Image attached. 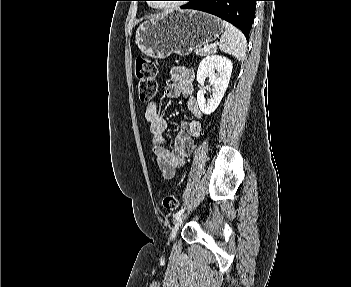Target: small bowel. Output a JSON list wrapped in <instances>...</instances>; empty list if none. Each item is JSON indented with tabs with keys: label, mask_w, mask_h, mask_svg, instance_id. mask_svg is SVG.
<instances>
[{
	"label": "small bowel",
	"mask_w": 351,
	"mask_h": 287,
	"mask_svg": "<svg viewBox=\"0 0 351 287\" xmlns=\"http://www.w3.org/2000/svg\"><path fill=\"white\" fill-rule=\"evenodd\" d=\"M170 75L173 83L167 86L166 96L173 99L185 97L188 111L192 115L190 120L182 122L172 148L166 146L163 138L167 128L163 108L159 103L153 101L148 103L144 109L148 129L153 136L152 150L158 167L167 179L172 178L176 170L185 164L186 159L195 148L196 139L202 131V112L193 94V71L184 66H177L171 69Z\"/></svg>",
	"instance_id": "1"
}]
</instances>
